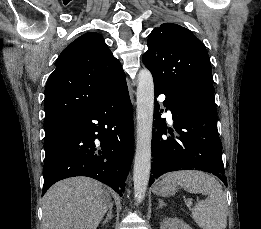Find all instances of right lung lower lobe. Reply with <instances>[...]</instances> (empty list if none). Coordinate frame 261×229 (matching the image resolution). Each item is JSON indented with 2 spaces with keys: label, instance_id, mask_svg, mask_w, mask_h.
<instances>
[{
  "label": "right lung lower lobe",
  "instance_id": "1",
  "mask_svg": "<svg viewBox=\"0 0 261 229\" xmlns=\"http://www.w3.org/2000/svg\"><path fill=\"white\" fill-rule=\"evenodd\" d=\"M133 146L132 105L125 83L87 113L45 137L42 195L59 180L87 176L122 196Z\"/></svg>",
  "mask_w": 261,
  "mask_h": 229
}]
</instances>
